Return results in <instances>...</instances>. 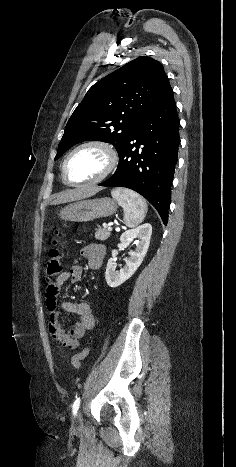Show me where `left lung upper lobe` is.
Listing matches in <instances>:
<instances>
[{"label":"left lung upper lobe","mask_w":236,"mask_h":467,"mask_svg":"<svg viewBox=\"0 0 236 467\" xmlns=\"http://www.w3.org/2000/svg\"><path fill=\"white\" fill-rule=\"evenodd\" d=\"M170 89L162 64L147 56L107 75L88 90L71 115L55 160L87 140L111 143L120 153L131 131Z\"/></svg>","instance_id":"1"}]
</instances>
